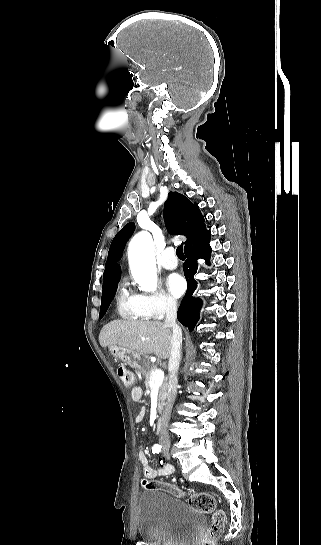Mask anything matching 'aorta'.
Here are the masks:
<instances>
[{
    "label": "aorta",
    "instance_id": "762f6f07",
    "mask_svg": "<svg viewBox=\"0 0 321 545\" xmlns=\"http://www.w3.org/2000/svg\"><path fill=\"white\" fill-rule=\"evenodd\" d=\"M128 259L132 275L142 291L157 287L154 243L150 233L142 231L129 244Z\"/></svg>",
    "mask_w": 321,
    "mask_h": 545
}]
</instances>
